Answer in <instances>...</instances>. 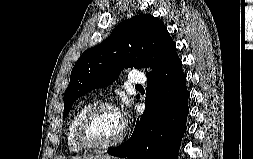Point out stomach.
<instances>
[{"label": "stomach", "instance_id": "0dacf381", "mask_svg": "<svg viewBox=\"0 0 253 159\" xmlns=\"http://www.w3.org/2000/svg\"><path fill=\"white\" fill-rule=\"evenodd\" d=\"M102 159H118V158H113V157H104Z\"/></svg>", "mask_w": 253, "mask_h": 159}]
</instances>
